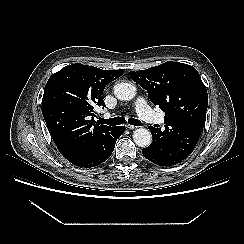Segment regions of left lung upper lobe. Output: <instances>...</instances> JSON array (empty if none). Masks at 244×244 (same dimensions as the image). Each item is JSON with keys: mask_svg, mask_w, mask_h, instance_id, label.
Masks as SVG:
<instances>
[{"mask_svg": "<svg viewBox=\"0 0 244 244\" xmlns=\"http://www.w3.org/2000/svg\"><path fill=\"white\" fill-rule=\"evenodd\" d=\"M129 74L165 112L164 128L149 127L151 146L163 165L180 163L192 153L206 120L208 94L199 73L190 65L168 61Z\"/></svg>", "mask_w": 244, "mask_h": 244, "instance_id": "obj_1", "label": "left lung upper lobe"}]
</instances>
